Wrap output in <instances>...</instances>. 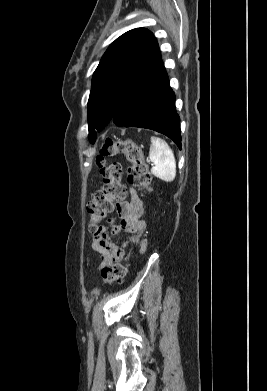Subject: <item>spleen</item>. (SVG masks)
<instances>
[{"mask_svg":"<svg viewBox=\"0 0 267 391\" xmlns=\"http://www.w3.org/2000/svg\"><path fill=\"white\" fill-rule=\"evenodd\" d=\"M149 159L154 167L151 173L165 182H172L176 176V161L169 145L161 138L152 136Z\"/></svg>","mask_w":267,"mask_h":391,"instance_id":"1","label":"spleen"}]
</instances>
